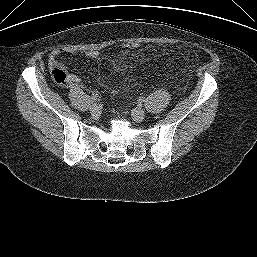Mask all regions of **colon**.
I'll list each match as a JSON object with an SVG mask.
<instances>
[{
  "label": "colon",
  "mask_w": 257,
  "mask_h": 257,
  "mask_svg": "<svg viewBox=\"0 0 257 257\" xmlns=\"http://www.w3.org/2000/svg\"><path fill=\"white\" fill-rule=\"evenodd\" d=\"M122 46L130 50H136L141 47V44L135 41H124ZM51 76L53 81L60 86H67L70 82L69 75L58 66L51 69Z\"/></svg>",
  "instance_id": "5ec220e1"
}]
</instances>
